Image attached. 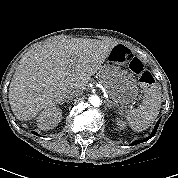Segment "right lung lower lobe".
<instances>
[{"instance_id": "1", "label": "right lung lower lobe", "mask_w": 178, "mask_h": 178, "mask_svg": "<svg viewBox=\"0 0 178 178\" xmlns=\"http://www.w3.org/2000/svg\"><path fill=\"white\" fill-rule=\"evenodd\" d=\"M33 134H35V135H38V133H36V132H32Z\"/></svg>"}]
</instances>
